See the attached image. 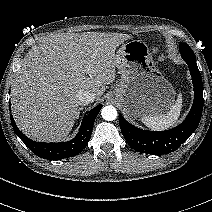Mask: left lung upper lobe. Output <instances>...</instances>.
Returning <instances> with one entry per match:
<instances>
[{"label":"left lung upper lobe","mask_w":212,"mask_h":212,"mask_svg":"<svg viewBox=\"0 0 212 212\" xmlns=\"http://www.w3.org/2000/svg\"><path fill=\"white\" fill-rule=\"evenodd\" d=\"M180 52H181V54L194 55L192 49L186 43H181L180 44Z\"/></svg>","instance_id":"left-lung-upper-lobe-1"}]
</instances>
